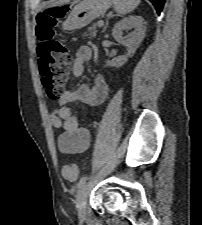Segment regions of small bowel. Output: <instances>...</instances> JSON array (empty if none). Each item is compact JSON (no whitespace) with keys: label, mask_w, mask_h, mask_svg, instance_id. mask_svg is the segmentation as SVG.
I'll return each mask as SVG.
<instances>
[{"label":"small bowel","mask_w":202,"mask_h":225,"mask_svg":"<svg viewBox=\"0 0 202 225\" xmlns=\"http://www.w3.org/2000/svg\"><path fill=\"white\" fill-rule=\"evenodd\" d=\"M92 57L89 46H80L73 61L74 77L82 76L84 64ZM109 87L101 75H96L92 86L81 84L73 90H66L59 99L58 105L51 113L54 127L61 129L58 142L61 151L65 154H78L87 150L90 138L86 127L80 125L76 115L73 114L71 104H86L97 106L107 98Z\"/></svg>","instance_id":"1"}]
</instances>
